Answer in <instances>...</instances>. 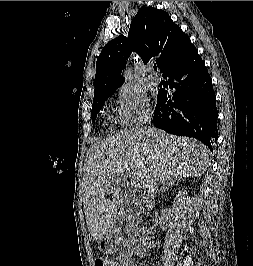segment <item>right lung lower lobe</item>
Wrapping results in <instances>:
<instances>
[{
	"mask_svg": "<svg viewBox=\"0 0 253 266\" xmlns=\"http://www.w3.org/2000/svg\"><path fill=\"white\" fill-rule=\"evenodd\" d=\"M162 75L169 77V88L175 92L167 97L165 90H159L154 126L170 134L196 138L213 151L212 143L218 138L216 97L196 48Z\"/></svg>",
	"mask_w": 253,
	"mask_h": 266,
	"instance_id": "1",
	"label": "right lung lower lobe"
}]
</instances>
